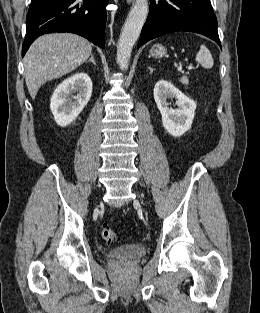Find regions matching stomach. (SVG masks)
Wrapping results in <instances>:
<instances>
[{
  "label": "stomach",
  "instance_id": "1",
  "mask_svg": "<svg viewBox=\"0 0 260 313\" xmlns=\"http://www.w3.org/2000/svg\"><path fill=\"white\" fill-rule=\"evenodd\" d=\"M150 54L155 58H162L166 54V49L164 46L157 44L152 47Z\"/></svg>",
  "mask_w": 260,
  "mask_h": 313
}]
</instances>
